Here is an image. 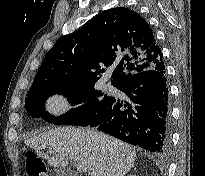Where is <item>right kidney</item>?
<instances>
[{
	"instance_id": "right-kidney-1",
	"label": "right kidney",
	"mask_w": 205,
	"mask_h": 176,
	"mask_svg": "<svg viewBox=\"0 0 205 176\" xmlns=\"http://www.w3.org/2000/svg\"><path fill=\"white\" fill-rule=\"evenodd\" d=\"M128 176H137V175H128Z\"/></svg>"
}]
</instances>
